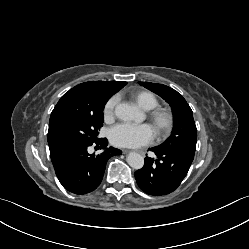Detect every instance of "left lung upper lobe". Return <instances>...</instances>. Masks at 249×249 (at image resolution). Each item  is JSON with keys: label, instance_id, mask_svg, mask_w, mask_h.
Here are the masks:
<instances>
[{"label": "left lung upper lobe", "instance_id": "left-lung-upper-lobe-1", "mask_svg": "<svg viewBox=\"0 0 249 249\" xmlns=\"http://www.w3.org/2000/svg\"><path fill=\"white\" fill-rule=\"evenodd\" d=\"M138 83L162 97L170 104L173 111L174 127L172 134L157 148L164 151H181L194 155L197 129L192 110L186 100L181 94L168 86L150 82Z\"/></svg>", "mask_w": 249, "mask_h": 249}]
</instances>
